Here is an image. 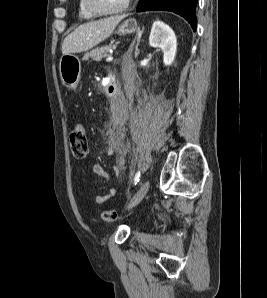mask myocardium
Listing matches in <instances>:
<instances>
[{
  "instance_id": "myocardium-1",
  "label": "myocardium",
  "mask_w": 267,
  "mask_h": 298,
  "mask_svg": "<svg viewBox=\"0 0 267 298\" xmlns=\"http://www.w3.org/2000/svg\"><path fill=\"white\" fill-rule=\"evenodd\" d=\"M131 0H126L123 5L114 11H105L98 8L94 0H84L86 9L95 16H114L124 13L130 6Z\"/></svg>"
}]
</instances>
